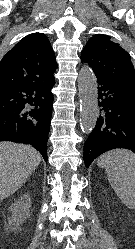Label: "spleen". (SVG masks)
<instances>
[{"mask_svg":"<svg viewBox=\"0 0 135 249\" xmlns=\"http://www.w3.org/2000/svg\"><path fill=\"white\" fill-rule=\"evenodd\" d=\"M98 165L105 168L117 196L129 209L135 210V154L119 149L102 155Z\"/></svg>","mask_w":135,"mask_h":249,"instance_id":"spleen-1","label":"spleen"}]
</instances>
